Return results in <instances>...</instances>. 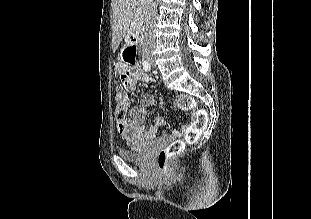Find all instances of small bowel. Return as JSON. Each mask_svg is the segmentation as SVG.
<instances>
[{"label":"small bowel","instance_id":"small-bowel-1","mask_svg":"<svg viewBox=\"0 0 311 219\" xmlns=\"http://www.w3.org/2000/svg\"><path fill=\"white\" fill-rule=\"evenodd\" d=\"M115 68L120 75L126 77L128 91H134L138 81L143 78L141 69L137 65H127L120 61L116 62ZM154 102L155 99L152 95H143L139 100V105L131 107L128 119L117 122V130L127 143L135 144L150 141L157 135L159 129L166 124L162 116H155L148 128L143 127L146 108L153 105Z\"/></svg>","mask_w":311,"mask_h":219}]
</instances>
